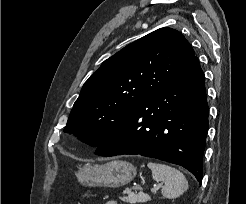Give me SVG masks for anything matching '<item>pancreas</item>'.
Here are the masks:
<instances>
[{
  "mask_svg": "<svg viewBox=\"0 0 246 204\" xmlns=\"http://www.w3.org/2000/svg\"><path fill=\"white\" fill-rule=\"evenodd\" d=\"M120 199L124 202L135 204V203H144L146 201H149L150 197L147 194L138 193L134 195L123 196L120 197Z\"/></svg>",
  "mask_w": 246,
  "mask_h": 204,
  "instance_id": "cf45deb5",
  "label": "pancreas"
}]
</instances>
